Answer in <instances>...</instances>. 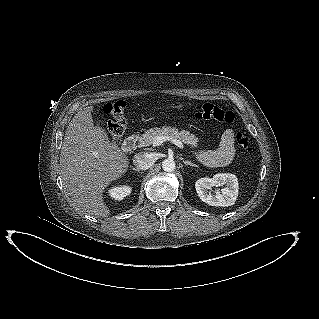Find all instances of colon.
Returning a JSON list of instances; mask_svg holds the SVG:
<instances>
[{
	"label": "colon",
	"mask_w": 319,
	"mask_h": 319,
	"mask_svg": "<svg viewBox=\"0 0 319 319\" xmlns=\"http://www.w3.org/2000/svg\"><path fill=\"white\" fill-rule=\"evenodd\" d=\"M126 103L122 100L105 104L103 111L109 117L108 132L112 139L118 140L125 132L127 122L125 117ZM196 119L213 120L221 123L232 124L235 115L232 111L222 109L221 107L205 103L197 107L193 112ZM236 143L245 152L252 151V143L244 133H238L235 136Z\"/></svg>",
	"instance_id": "obj_1"
}]
</instances>
